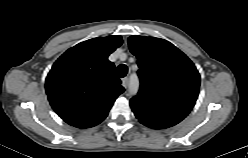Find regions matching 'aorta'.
I'll list each match as a JSON object with an SVG mask.
<instances>
[{"instance_id":"762f6f07","label":"aorta","mask_w":248,"mask_h":158,"mask_svg":"<svg viewBox=\"0 0 248 158\" xmlns=\"http://www.w3.org/2000/svg\"><path fill=\"white\" fill-rule=\"evenodd\" d=\"M138 90V81L137 79H132L131 83H130V92L132 94H135Z\"/></svg>"}]
</instances>
